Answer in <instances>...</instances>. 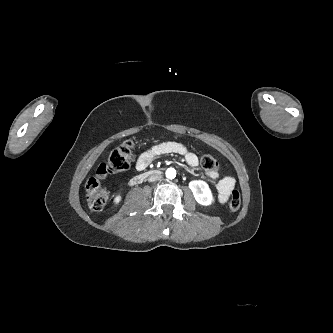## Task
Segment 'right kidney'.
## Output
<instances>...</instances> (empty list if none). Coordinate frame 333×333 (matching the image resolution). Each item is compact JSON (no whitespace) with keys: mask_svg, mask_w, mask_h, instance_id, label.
<instances>
[{"mask_svg":"<svg viewBox=\"0 0 333 333\" xmlns=\"http://www.w3.org/2000/svg\"><path fill=\"white\" fill-rule=\"evenodd\" d=\"M120 199H121V196H117V197L115 198L114 202H115V203H118V202L120 201Z\"/></svg>","mask_w":333,"mask_h":333,"instance_id":"ca27d5eb","label":"right kidney"}]
</instances>
